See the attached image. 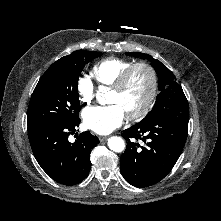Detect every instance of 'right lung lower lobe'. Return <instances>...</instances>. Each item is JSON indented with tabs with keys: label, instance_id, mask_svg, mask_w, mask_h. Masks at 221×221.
Returning <instances> with one entry per match:
<instances>
[{
	"label": "right lung lower lobe",
	"instance_id": "obj_1",
	"mask_svg": "<svg viewBox=\"0 0 221 221\" xmlns=\"http://www.w3.org/2000/svg\"><path fill=\"white\" fill-rule=\"evenodd\" d=\"M77 121L56 120L28 126L29 142L41 168L56 182L75 185L88 176L91 168L90 151L99 139L89 131L77 135L74 143L68 136L74 134Z\"/></svg>",
	"mask_w": 221,
	"mask_h": 221
}]
</instances>
